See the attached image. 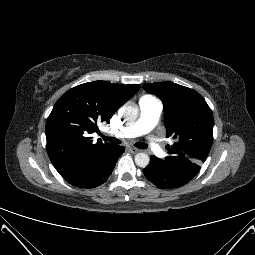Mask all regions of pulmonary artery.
I'll return each mask as SVG.
<instances>
[{
  "instance_id": "e3ab8cb5",
  "label": "pulmonary artery",
  "mask_w": 255,
  "mask_h": 255,
  "mask_svg": "<svg viewBox=\"0 0 255 255\" xmlns=\"http://www.w3.org/2000/svg\"><path fill=\"white\" fill-rule=\"evenodd\" d=\"M139 108L140 115L136 121L124 125L119 130L112 131V134L120 138H132L149 133L157 125L163 105L152 96H144L139 101ZM147 145L155 155H163V148L156 141L149 140Z\"/></svg>"
}]
</instances>
